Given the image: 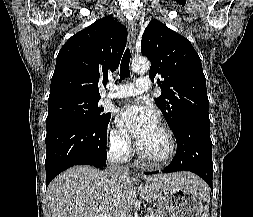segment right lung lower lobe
Listing matches in <instances>:
<instances>
[{"label": "right lung lower lobe", "mask_w": 253, "mask_h": 217, "mask_svg": "<svg viewBox=\"0 0 253 217\" xmlns=\"http://www.w3.org/2000/svg\"><path fill=\"white\" fill-rule=\"evenodd\" d=\"M108 123L94 125L81 120H64L47 125L46 187L71 166L102 167L105 164Z\"/></svg>", "instance_id": "right-lung-lower-lobe-1"}]
</instances>
